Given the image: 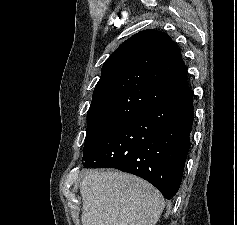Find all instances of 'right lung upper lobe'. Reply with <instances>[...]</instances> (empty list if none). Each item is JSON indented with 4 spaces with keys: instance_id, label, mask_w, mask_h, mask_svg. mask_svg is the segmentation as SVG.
Segmentation results:
<instances>
[{
    "instance_id": "right-lung-upper-lobe-1",
    "label": "right lung upper lobe",
    "mask_w": 237,
    "mask_h": 225,
    "mask_svg": "<svg viewBox=\"0 0 237 225\" xmlns=\"http://www.w3.org/2000/svg\"><path fill=\"white\" fill-rule=\"evenodd\" d=\"M188 89L186 66L171 37L153 29L141 31L103 64L87 116L130 120Z\"/></svg>"
}]
</instances>
